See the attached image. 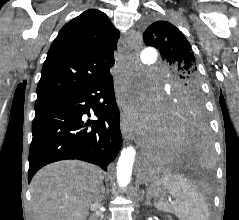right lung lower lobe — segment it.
Here are the masks:
<instances>
[{
    "instance_id": "1",
    "label": "right lung lower lobe",
    "mask_w": 239,
    "mask_h": 220,
    "mask_svg": "<svg viewBox=\"0 0 239 220\" xmlns=\"http://www.w3.org/2000/svg\"><path fill=\"white\" fill-rule=\"evenodd\" d=\"M91 112L98 120L83 121ZM32 134L29 183L40 168L65 159L87 161L107 171L122 145L112 75L81 91L36 102Z\"/></svg>"
}]
</instances>
